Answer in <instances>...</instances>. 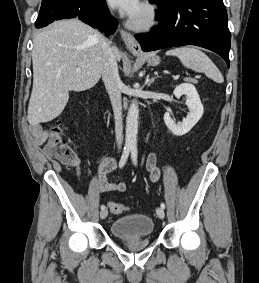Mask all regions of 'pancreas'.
<instances>
[{"instance_id": "cf45deb5", "label": "pancreas", "mask_w": 259, "mask_h": 283, "mask_svg": "<svg viewBox=\"0 0 259 283\" xmlns=\"http://www.w3.org/2000/svg\"><path fill=\"white\" fill-rule=\"evenodd\" d=\"M185 81L192 82V83H196V80L191 79V78H186Z\"/></svg>"}]
</instances>
